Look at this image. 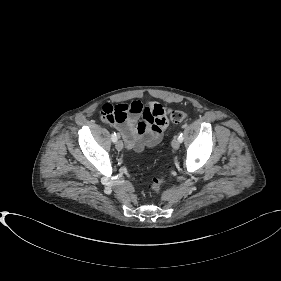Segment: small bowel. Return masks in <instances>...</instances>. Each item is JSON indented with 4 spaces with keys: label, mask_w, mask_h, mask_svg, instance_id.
Wrapping results in <instances>:
<instances>
[{
    "label": "small bowel",
    "mask_w": 281,
    "mask_h": 281,
    "mask_svg": "<svg viewBox=\"0 0 281 281\" xmlns=\"http://www.w3.org/2000/svg\"><path fill=\"white\" fill-rule=\"evenodd\" d=\"M133 102L131 106L134 104ZM140 109L130 112L124 122L112 124L123 137L126 147L133 151H141L144 147L156 146L162 139L163 132L168 126L169 109L156 101H148Z\"/></svg>",
    "instance_id": "c3829d8e"
}]
</instances>
